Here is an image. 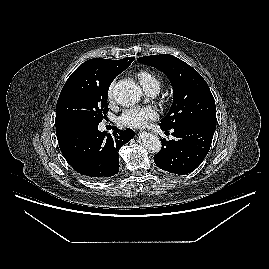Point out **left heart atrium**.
<instances>
[{
	"label": "left heart atrium",
	"instance_id": "39dd6f15",
	"mask_svg": "<svg viewBox=\"0 0 269 269\" xmlns=\"http://www.w3.org/2000/svg\"><path fill=\"white\" fill-rule=\"evenodd\" d=\"M157 117L158 113L153 107H133L125 110L120 116L119 121L127 127L142 128Z\"/></svg>",
	"mask_w": 269,
	"mask_h": 269
}]
</instances>
